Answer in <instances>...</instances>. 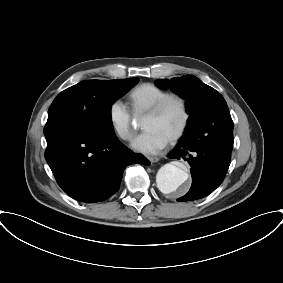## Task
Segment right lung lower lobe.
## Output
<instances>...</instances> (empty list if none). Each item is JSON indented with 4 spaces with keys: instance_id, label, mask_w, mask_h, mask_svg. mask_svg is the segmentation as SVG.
Returning a JSON list of instances; mask_svg holds the SVG:
<instances>
[{
    "instance_id": "obj_1",
    "label": "right lung lower lobe",
    "mask_w": 283,
    "mask_h": 283,
    "mask_svg": "<svg viewBox=\"0 0 283 283\" xmlns=\"http://www.w3.org/2000/svg\"><path fill=\"white\" fill-rule=\"evenodd\" d=\"M45 159L63 191L86 203L114 195L128 165L150 164L124 146L115 133L61 135L48 142Z\"/></svg>"
}]
</instances>
